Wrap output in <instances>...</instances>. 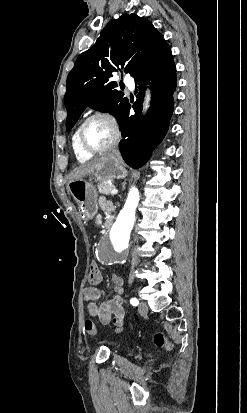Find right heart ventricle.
<instances>
[{"mask_svg": "<svg viewBox=\"0 0 247 413\" xmlns=\"http://www.w3.org/2000/svg\"><path fill=\"white\" fill-rule=\"evenodd\" d=\"M72 147H73L76 159L80 163H85V162L89 161L92 158V156L84 154L79 149L78 144H77V130L74 132V134L72 136Z\"/></svg>", "mask_w": 247, "mask_h": 413, "instance_id": "e07e8e85", "label": "right heart ventricle"}]
</instances>
